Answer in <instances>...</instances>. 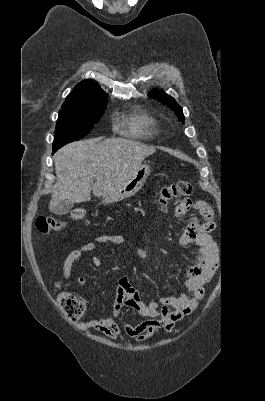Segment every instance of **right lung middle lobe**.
Segmentation results:
<instances>
[{
    "mask_svg": "<svg viewBox=\"0 0 265 401\" xmlns=\"http://www.w3.org/2000/svg\"><path fill=\"white\" fill-rule=\"evenodd\" d=\"M107 100L62 106L56 123L53 151L86 136L106 109Z\"/></svg>",
    "mask_w": 265,
    "mask_h": 401,
    "instance_id": "dd1d6c3e",
    "label": "right lung middle lobe"
}]
</instances>
